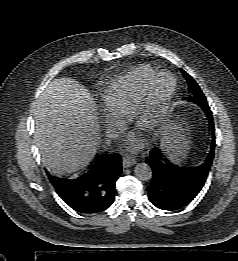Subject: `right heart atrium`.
<instances>
[{"instance_id": "right-heart-atrium-1", "label": "right heart atrium", "mask_w": 238, "mask_h": 261, "mask_svg": "<svg viewBox=\"0 0 238 261\" xmlns=\"http://www.w3.org/2000/svg\"><path fill=\"white\" fill-rule=\"evenodd\" d=\"M102 120L106 133L110 137H115L124 125V117L120 114L104 111Z\"/></svg>"}]
</instances>
